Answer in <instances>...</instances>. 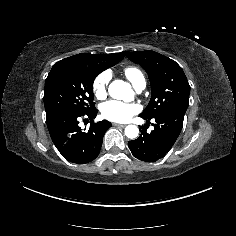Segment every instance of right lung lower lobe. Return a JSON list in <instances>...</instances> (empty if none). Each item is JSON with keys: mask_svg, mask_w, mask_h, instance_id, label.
Wrapping results in <instances>:
<instances>
[{"mask_svg": "<svg viewBox=\"0 0 236 236\" xmlns=\"http://www.w3.org/2000/svg\"><path fill=\"white\" fill-rule=\"evenodd\" d=\"M98 110L93 107L83 114L57 113L46 117L47 127L53 143L61 155L70 162L85 164L99 154L103 136L112 126L107 120L94 123ZM80 118L91 122L88 131L78 125Z\"/></svg>", "mask_w": 236, "mask_h": 236, "instance_id": "98d812e1", "label": "right lung lower lobe"}]
</instances>
